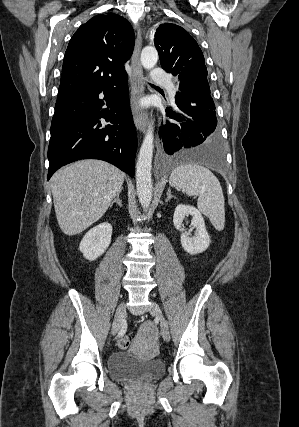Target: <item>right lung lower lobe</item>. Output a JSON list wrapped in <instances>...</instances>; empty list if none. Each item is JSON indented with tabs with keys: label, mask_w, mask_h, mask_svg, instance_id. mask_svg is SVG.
Instances as JSON below:
<instances>
[{
	"label": "right lung lower lobe",
	"mask_w": 299,
	"mask_h": 427,
	"mask_svg": "<svg viewBox=\"0 0 299 427\" xmlns=\"http://www.w3.org/2000/svg\"><path fill=\"white\" fill-rule=\"evenodd\" d=\"M101 93L104 98L99 96ZM104 104L108 108H102ZM136 149L125 74L110 84L56 102L48 148V180L60 167L86 158L110 162L133 177Z\"/></svg>",
	"instance_id": "obj_1"
}]
</instances>
